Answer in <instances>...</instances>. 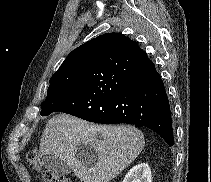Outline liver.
I'll use <instances>...</instances> for the list:
<instances>
[{
	"label": "liver",
	"mask_w": 211,
	"mask_h": 182,
	"mask_svg": "<svg viewBox=\"0 0 211 182\" xmlns=\"http://www.w3.org/2000/svg\"><path fill=\"white\" fill-rule=\"evenodd\" d=\"M80 145L91 147L96 160L77 157L75 150ZM144 145L143 133L133 126L93 125L58 114L45 126L39 155L61 159L82 182H109L137 158Z\"/></svg>",
	"instance_id": "6515ba94"
}]
</instances>
